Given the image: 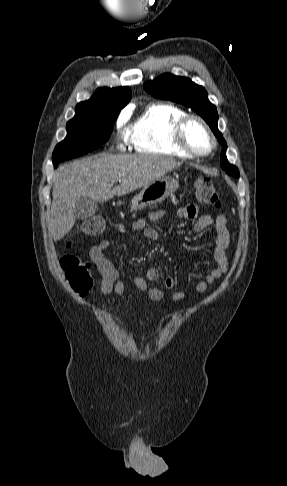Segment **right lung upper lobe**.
<instances>
[{
    "instance_id": "right-lung-upper-lobe-1",
    "label": "right lung upper lobe",
    "mask_w": 287,
    "mask_h": 486,
    "mask_svg": "<svg viewBox=\"0 0 287 486\" xmlns=\"http://www.w3.org/2000/svg\"><path fill=\"white\" fill-rule=\"evenodd\" d=\"M130 99L131 90L129 87H103L97 89L89 100L77 104L76 110L97 108L113 112H120V110L127 105Z\"/></svg>"
}]
</instances>
